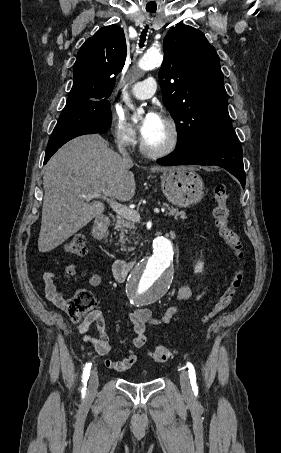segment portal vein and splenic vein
<instances>
[{
  "instance_id": "18ae733b",
  "label": "portal vein and splenic vein",
  "mask_w": 281,
  "mask_h": 453,
  "mask_svg": "<svg viewBox=\"0 0 281 453\" xmlns=\"http://www.w3.org/2000/svg\"><path fill=\"white\" fill-rule=\"evenodd\" d=\"M84 198H103V200H107L109 202L111 208L123 216V218H127V220H133V222H138L140 220V214L138 210H133V208H128V206H124V204H120V202H115V200H110V198H106L103 196V192H88V194H82ZM159 212V208H154V214Z\"/></svg>"
}]
</instances>
